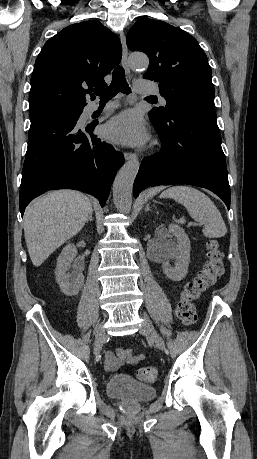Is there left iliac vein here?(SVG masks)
Masks as SVG:
<instances>
[{
	"label": "left iliac vein",
	"mask_w": 257,
	"mask_h": 459,
	"mask_svg": "<svg viewBox=\"0 0 257 459\" xmlns=\"http://www.w3.org/2000/svg\"><path fill=\"white\" fill-rule=\"evenodd\" d=\"M143 319L144 321L140 327V333L149 337L155 343L158 349L164 350L165 348L164 341L162 337L155 330L150 319L145 315H143Z\"/></svg>",
	"instance_id": "left-iliac-vein-1"
}]
</instances>
